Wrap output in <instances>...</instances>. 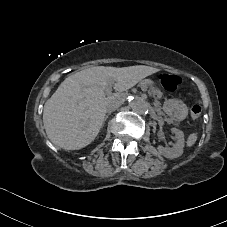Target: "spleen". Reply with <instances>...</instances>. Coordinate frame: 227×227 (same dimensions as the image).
I'll return each instance as SVG.
<instances>
[{"instance_id": "obj_1", "label": "spleen", "mask_w": 227, "mask_h": 227, "mask_svg": "<svg viewBox=\"0 0 227 227\" xmlns=\"http://www.w3.org/2000/svg\"><path fill=\"white\" fill-rule=\"evenodd\" d=\"M196 141H197V134L192 133L188 136L186 144H187L188 147H191L192 145L195 144Z\"/></svg>"}]
</instances>
